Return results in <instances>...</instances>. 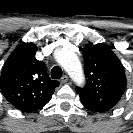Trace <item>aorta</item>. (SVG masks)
Wrapping results in <instances>:
<instances>
[{
  "instance_id": "1",
  "label": "aorta",
  "mask_w": 133,
  "mask_h": 133,
  "mask_svg": "<svg viewBox=\"0 0 133 133\" xmlns=\"http://www.w3.org/2000/svg\"><path fill=\"white\" fill-rule=\"evenodd\" d=\"M54 56L77 85L84 84L85 78L82 66L74 52L67 48H61L55 51Z\"/></svg>"
}]
</instances>
